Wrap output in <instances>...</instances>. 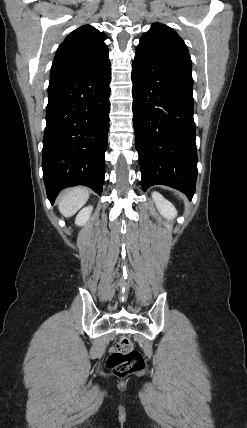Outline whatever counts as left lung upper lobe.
<instances>
[{
	"instance_id": "5c2ea615",
	"label": "left lung upper lobe",
	"mask_w": 247,
	"mask_h": 428,
	"mask_svg": "<svg viewBox=\"0 0 247 428\" xmlns=\"http://www.w3.org/2000/svg\"><path fill=\"white\" fill-rule=\"evenodd\" d=\"M138 51L155 55L163 61L191 72L192 62L187 46L170 27L156 23L140 38Z\"/></svg>"
}]
</instances>
